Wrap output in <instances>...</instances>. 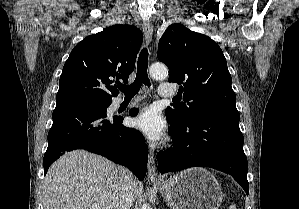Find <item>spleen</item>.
<instances>
[{
  "instance_id": "3e777b00",
  "label": "spleen",
  "mask_w": 299,
  "mask_h": 209,
  "mask_svg": "<svg viewBox=\"0 0 299 209\" xmlns=\"http://www.w3.org/2000/svg\"><path fill=\"white\" fill-rule=\"evenodd\" d=\"M230 209H236V207L234 205H231Z\"/></svg>"
}]
</instances>
